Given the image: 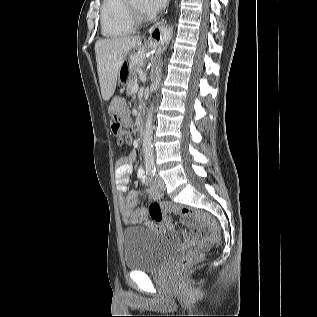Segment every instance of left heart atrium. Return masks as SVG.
I'll list each match as a JSON object with an SVG mask.
<instances>
[{
	"instance_id": "39dd6f15",
	"label": "left heart atrium",
	"mask_w": 317,
	"mask_h": 317,
	"mask_svg": "<svg viewBox=\"0 0 317 317\" xmlns=\"http://www.w3.org/2000/svg\"><path fill=\"white\" fill-rule=\"evenodd\" d=\"M167 3V0H144L143 10L148 17L156 15Z\"/></svg>"
}]
</instances>
